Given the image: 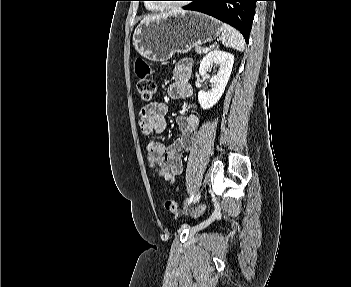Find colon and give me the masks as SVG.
Returning a JSON list of instances; mask_svg holds the SVG:
<instances>
[{"instance_id": "5ec220e1", "label": "colon", "mask_w": 351, "mask_h": 287, "mask_svg": "<svg viewBox=\"0 0 351 287\" xmlns=\"http://www.w3.org/2000/svg\"><path fill=\"white\" fill-rule=\"evenodd\" d=\"M134 69L139 79L137 83L139 100L143 104H150L156 94V84L151 77L152 68L146 60L137 58L134 63ZM164 206L168 212L174 215L180 214V208L176 201L172 199L166 200Z\"/></svg>"}]
</instances>
